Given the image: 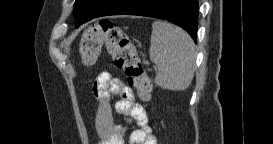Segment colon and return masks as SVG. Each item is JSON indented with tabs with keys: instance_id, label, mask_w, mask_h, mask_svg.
<instances>
[{
	"instance_id": "colon-1",
	"label": "colon",
	"mask_w": 273,
	"mask_h": 144,
	"mask_svg": "<svg viewBox=\"0 0 273 144\" xmlns=\"http://www.w3.org/2000/svg\"><path fill=\"white\" fill-rule=\"evenodd\" d=\"M103 45L107 46L115 67L124 72L139 97L143 101L149 100L152 85L145 67L127 34L112 21L101 19L84 31L80 45L83 63L87 66L94 64Z\"/></svg>"
}]
</instances>
